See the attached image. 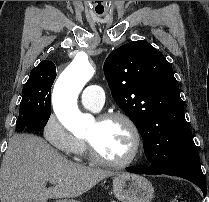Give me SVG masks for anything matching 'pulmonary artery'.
Wrapping results in <instances>:
<instances>
[{"label": "pulmonary artery", "instance_id": "pulmonary-artery-1", "mask_svg": "<svg viewBox=\"0 0 209 202\" xmlns=\"http://www.w3.org/2000/svg\"><path fill=\"white\" fill-rule=\"evenodd\" d=\"M81 105L92 111H100L104 105V88L98 84L87 86L81 95Z\"/></svg>", "mask_w": 209, "mask_h": 202}]
</instances>
